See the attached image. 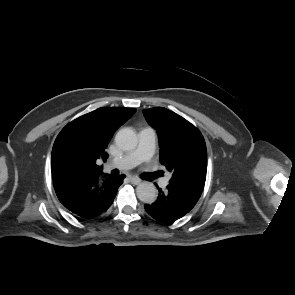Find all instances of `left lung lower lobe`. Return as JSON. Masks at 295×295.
I'll list each match as a JSON object with an SVG mask.
<instances>
[{
  "label": "left lung lower lobe",
  "instance_id": "left-lung-lower-lobe-1",
  "mask_svg": "<svg viewBox=\"0 0 295 295\" xmlns=\"http://www.w3.org/2000/svg\"><path fill=\"white\" fill-rule=\"evenodd\" d=\"M158 190L157 200L152 204H146L145 210L154 219L163 223H173L186 215L195 206L202 193L170 184L165 191L159 188Z\"/></svg>",
  "mask_w": 295,
  "mask_h": 295
}]
</instances>
